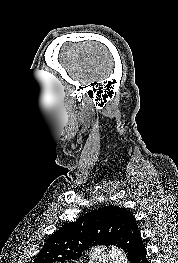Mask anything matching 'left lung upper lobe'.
I'll return each mask as SVG.
<instances>
[{
  "label": "left lung upper lobe",
  "mask_w": 178,
  "mask_h": 263,
  "mask_svg": "<svg viewBox=\"0 0 178 263\" xmlns=\"http://www.w3.org/2000/svg\"><path fill=\"white\" fill-rule=\"evenodd\" d=\"M133 216L125 208L105 206L69 222L45 242L34 263L73 261L93 245H116Z\"/></svg>",
  "instance_id": "1"
}]
</instances>
